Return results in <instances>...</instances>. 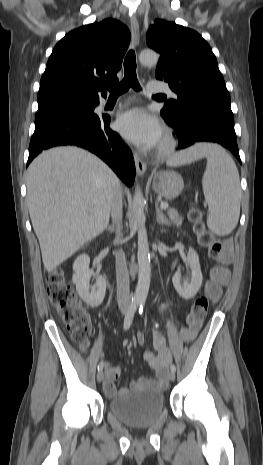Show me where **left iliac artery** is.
<instances>
[{
    "instance_id": "obj_1",
    "label": "left iliac artery",
    "mask_w": 263,
    "mask_h": 465,
    "mask_svg": "<svg viewBox=\"0 0 263 465\" xmlns=\"http://www.w3.org/2000/svg\"><path fill=\"white\" fill-rule=\"evenodd\" d=\"M143 307H144V302L139 303V313L143 314ZM171 371L175 372L176 371V366L174 364L171 365Z\"/></svg>"
}]
</instances>
